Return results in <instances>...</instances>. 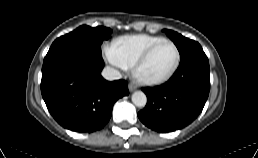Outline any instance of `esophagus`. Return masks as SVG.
Returning a JSON list of instances; mask_svg holds the SVG:
<instances>
[{
	"label": "esophagus",
	"instance_id": "1",
	"mask_svg": "<svg viewBox=\"0 0 258 158\" xmlns=\"http://www.w3.org/2000/svg\"><path fill=\"white\" fill-rule=\"evenodd\" d=\"M138 87L137 83L135 81H131L128 85V89L130 92L136 90Z\"/></svg>",
	"mask_w": 258,
	"mask_h": 158
}]
</instances>
